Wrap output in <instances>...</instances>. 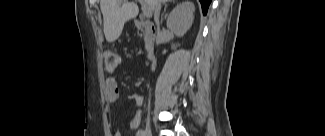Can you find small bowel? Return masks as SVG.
Listing matches in <instances>:
<instances>
[{
  "instance_id": "obj_1",
  "label": "small bowel",
  "mask_w": 325,
  "mask_h": 136,
  "mask_svg": "<svg viewBox=\"0 0 325 136\" xmlns=\"http://www.w3.org/2000/svg\"><path fill=\"white\" fill-rule=\"evenodd\" d=\"M120 95V91L117 85L116 80L113 77L107 78L105 83V96L108 103H115ZM128 99L134 102L137 107L133 118L130 121V129H137L142 121V111L140 110L141 105L143 104V97L140 94L133 93L128 95ZM114 136H121L119 131L114 133Z\"/></svg>"
}]
</instances>
